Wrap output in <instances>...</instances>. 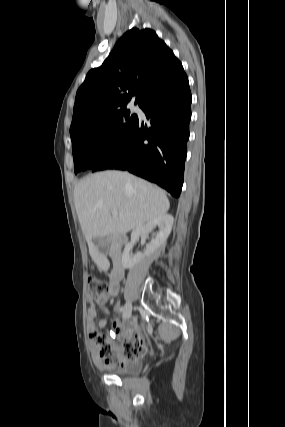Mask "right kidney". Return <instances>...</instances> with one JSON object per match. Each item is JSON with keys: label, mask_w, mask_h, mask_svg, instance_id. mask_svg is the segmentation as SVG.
Segmentation results:
<instances>
[{"label": "right kidney", "mask_w": 285, "mask_h": 427, "mask_svg": "<svg viewBox=\"0 0 285 427\" xmlns=\"http://www.w3.org/2000/svg\"><path fill=\"white\" fill-rule=\"evenodd\" d=\"M173 225V216L163 214L152 220L139 229H136L131 234V240L126 244L122 255V265L126 269L132 268L143 257L153 255L161 246H163L171 233ZM155 227L159 228V232L151 239V242L146 246L144 254H132V248L141 235L151 233Z\"/></svg>", "instance_id": "right-kidney-1"}]
</instances>
